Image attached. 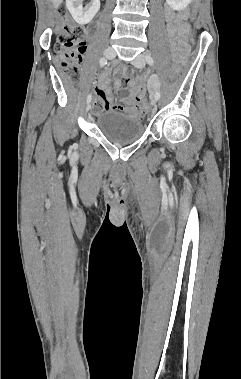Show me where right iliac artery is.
Returning a JSON list of instances; mask_svg holds the SVG:
<instances>
[{
    "label": "right iliac artery",
    "mask_w": 241,
    "mask_h": 379,
    "mask_svg": "<svg viewBox=\"0 0 241 379\" xmlns=\"http://www.w3.org/2000/svg\"><path fill=\"white\" fill-rule=\"evenodd\" d=\"M99 64L101 67L105 66L107 64V60L103 57L100 59ZM92 100L91 94L87 96V103H89Z\"/></svg>",
    "instance_id": "obj_1"
}]
</instances>
